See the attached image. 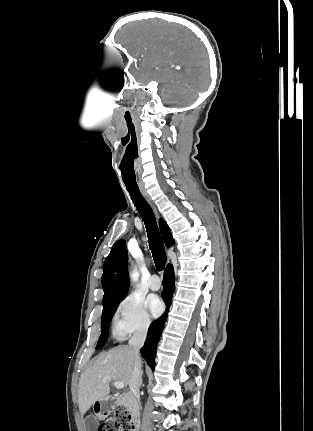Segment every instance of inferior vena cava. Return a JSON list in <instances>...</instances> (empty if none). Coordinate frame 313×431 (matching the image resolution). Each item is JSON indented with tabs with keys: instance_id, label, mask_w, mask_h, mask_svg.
<instances>
[{
	"instance_id": "obj_1",
	"label": "inferior vena cava",
	"mask_w": 313,
	"mask_h": 431,
	"mask_svg": "<svg viewBox=\"0 0 313 431\" xmlns=\"http://www.w3.org/2000/svg\"><path fill=\"white\" fill-rule=\"evenodd\" d=\"M147 335V326L136 331L129 340V346L134 356V366L129 382L130 387V407L138 410L140 408L139 388L141 377L140 349L143 347Z\"/></svg>"
}]
</instances>
